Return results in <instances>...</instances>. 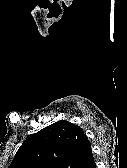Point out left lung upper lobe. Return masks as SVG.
Returning <instances> with one entry per match:
<instances>
[{
    "label": "left lung upper lobe",
    "mask_w": 127,
    "mask_h": 168,
    "mask_svg": "<svg viewBox=\"0 0 127 168\" xmlns=\"http://www.w3.org/2000/svg\"><path fill=\"white\" fill-rule=\"evenodd\" d=\"M88 142L79 126L60 120L28 137L9 168H77Z\"/></svg>",
    "instance_id": "obj_1"
}]
</instances>
